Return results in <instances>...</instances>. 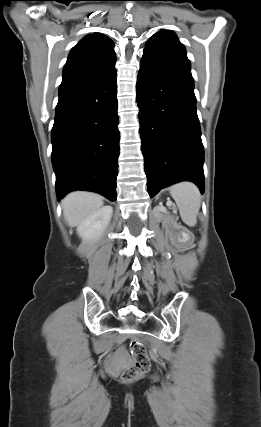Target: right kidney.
Returning <instances> with one entry per match:
<instances>
[{
	"instance_id": "right-kidney-1",
	"label": "right kidney",
	"mask_w": 261,
	"mask_h": 427,
	"mask_svg": "<svg viewBox=\"0 0 261 427\" xmlns=\"http://www.w3.org/2000/svg\"><path fill=\"white\" fill-rule=\"evenodd\" d=\"M113 209L111 206H103L94 214L87 217L78 227V235L83 240L98 239L111 220Z\"/></svg>"
}]
</instances>
